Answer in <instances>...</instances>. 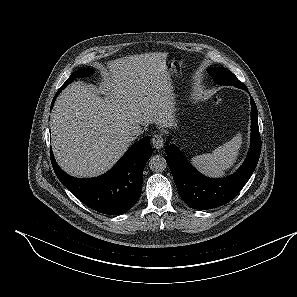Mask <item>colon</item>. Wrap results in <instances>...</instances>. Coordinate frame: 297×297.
Returning a JSON list of instances; mask_svg holds the SVG:
<instances>
[{"label": "colon", "instance_id": "1", "mask_svg": "<svg viewBox=\"0 0 297 297\" xmlns=\"http://www.w3.org/2000/svg\"><path fill=\"white\" fill-rule=\"evenodd\" d=\"M220 102H221L220 99H216V100H215V103H216V104H219Z\"/></svg>", "mask_w": 297, "mask_h": 297}]
</instances>
